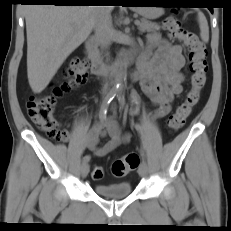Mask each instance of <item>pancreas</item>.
Listing matches in <instances>:
<instances>
[{
  "label": "pancreas",
  "mask_w": 231,
  "mask_h": 231,
  "mask_svg": "<svg viewBox=\"0 0 231 231\" xmlns=\"http://www.w3.org/2000/svg\"><path fill=\"white\" fill-rule=\"evenodd\" d=\"M140 32H155L160 30V26L157 23L150 22L145 19H141L139 24Z\"/></svg>",
  "instance_id": "cf45deb5"
}]
</instances>
